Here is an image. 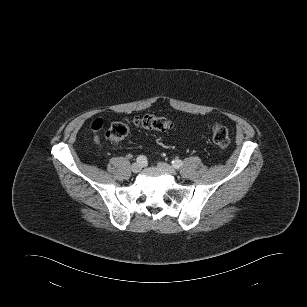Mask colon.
Listing matches in <instances>:
<instances>
[{"label":"colon","instance_id":"1","mask_svg":"<svg viewBox=\"0 0 307 307\" xmlns=\"http://www.w3.org/2000/svg\"><path fill=\"white\" fill-rule=\"evenodd\" d=\"M133 124L148 130H154L159 132H166L173 128L171 120L156 116L153 114H145L134 118ZM102 127V121L100 119L95 120L92 123V129L97 131ZM128 133V124L126 122L113 123L105 133L106 140L112 145H119ZM212 140L214 144L220 148H226L230 144V136L226 127L213 124L211 126Z\"/></svg>","mask_w":307,"mask_h":307}]
</instances>
